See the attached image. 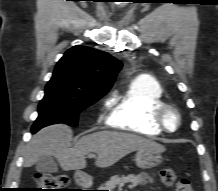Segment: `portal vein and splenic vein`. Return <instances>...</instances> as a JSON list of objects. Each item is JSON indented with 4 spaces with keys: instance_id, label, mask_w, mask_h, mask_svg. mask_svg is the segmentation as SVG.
Listing matches in <instances>:
<instances>
[{
    "instance_id": "obj_1",
    "label": "portal vein and splenic vein",
    "mask_w": 218,
    "mask_h": 191,
    "mask_svg": "<svg viewBox=\"0 0 218 191\" xmlns=\"http://www.w3.org/2000/svg\"><path fill=\"white\" fill-rule=\"evenodd\" d=\"M88 157H89V158H93V157H94V154H89Z\"/></svg>"
}]
</instances>
